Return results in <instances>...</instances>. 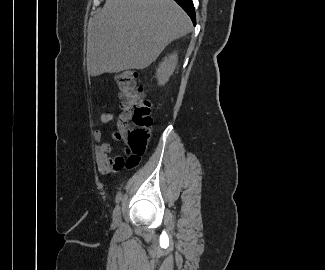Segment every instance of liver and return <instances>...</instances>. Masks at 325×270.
Returning <instances> with one entry per match:
<instances>
[{"instance_id":"liver-1","label":"liver","mask_w":325,"mask_h":270,"mask_svg":"<svg viewBox=\"0 0 325 270\" xmlns=\"http://www.w3.org/2000/svg\"><path fill=\"white\" fill-rule=\"evenodd\" d=\"M190 30L174 0H106L88 24V74L144 69Z\"/></svg>"}]
</instances>
